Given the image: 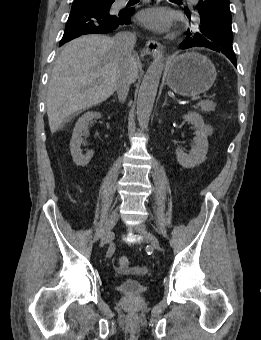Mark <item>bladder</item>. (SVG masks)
<instances>
[{"label":"bladder","instance_id":"1","mask_svg":"<svg viewBox=\"0 0 261 340\" xmlns=\"http://www.w3.org/2000/svg\"><path fill=\"white\" fill-rule=\"evenodd\" d=\"M145 282L134 277L123 278L117 286L120 293L127 297H136L145 291Z\"/></svg>","mask_w":261,"mask_h":340}]
</instances>
